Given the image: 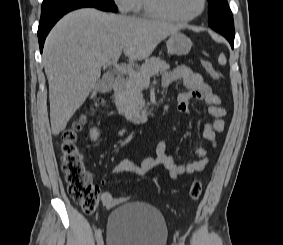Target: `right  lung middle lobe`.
Segmentation results:
<instances>
[{"mask_svg": "<svg viewBox=\"0 0 283 245\" xmlns=\"http://www.w3.org/2000/svg\"><path fill=\"white\" fill-rule=\"evenodd\" d=\"M86 1L114 3L113 0H43L42 7H41V14L46 13L56 8H60V7L72 4V3L86 2Z\"/></svg>", "mask_w": 283, "mask_h": 245, "instance_id": "1", "label": "right lung middle lobe"}]
</instances>
